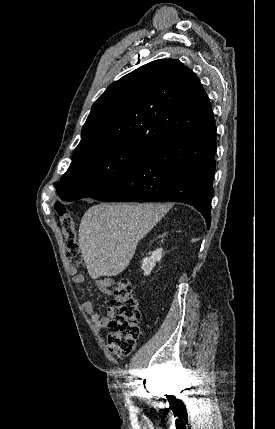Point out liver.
<instances>
[{
  "label": "liver",
  "instance_id": "liver-1",
  "mask_svg": "<svg viewBox=\"0 0 275 429\" xmlns=\"http://www.w3.org/2000/svg\"><path fill=\"white\" fill-rule=\"evenodd\" d=\"M165 204H99L89 208L79 226V247L92 279L122 273L138 242L160 221Z\"/></svg>",
  "mask_w": 275,
  "mask_h": 429
}]
</instances>
